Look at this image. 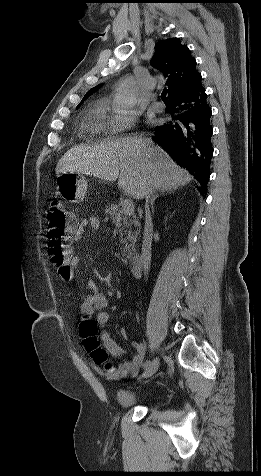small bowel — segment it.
<instances>
[{
  "instance_id": "obj_1",
  "label": "small bowel",
  "mask_w": 261,
  "mask_h": 476,
  "mask_svg": "<svg viewBox=\"0 0 261 476\" xmlns=\"http://www.w3.org/2000/svg\"><path fill=\"white\" fill-rule=\"evenodd\" d=\"M101 221L98 217H85L77 226L75 238H80L87 228L98 230L100 228ZM80 264V258L77 255H73L69 260V266L73 272L77 270ZM86 287L89 290V294L82 297L80 304V311L83 317L94 316V323L98 329H100L99 338L102 342L103 348L111 355L123 359V362L118 367L102 366V364L96 363L92 356L91 360L94 367L104 376L109 379H119L123 376L135 375L139 369L144 365L145 347L140 342H132V346L135 349V354L131 359L125 358L124 349L113 340L110 334L105 330V327L109 321V314L105 310L109 305V298L103 292H101L92 280L86 282ZM120 335L123 338H128L127 330L122 328Z\"/></svg>"
}]
</instances>
